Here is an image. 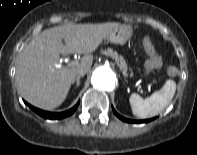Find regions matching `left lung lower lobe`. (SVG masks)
<instances>
[{"label":"left lung lower lobe","mask_w":197,"mask_h":155,"mask_svg":"<svg viewBox=\"0 0 197 155\" xmlns=\"http://www.w3.org/2000/svg\"><path fill=\"white\" fill-rule=\"evenodd\" d=\"M113 111H114L115 115H116L119 119H121L122 121L128 122V123H137V124H138V123H147V122H150L151 120H153V119H146V120H130V119H126V118L120 116L114 109H113Z\"/></svg>","instance_id":"left-lung-lower-lobe-1"}]
</instances>
